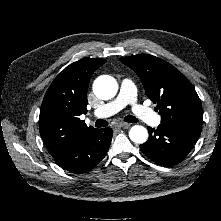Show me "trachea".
<instances>
[{
  "mask_svg": "<svg viewBox=\"0 0 221 221\" xmlns=\"http://www.w3.org/2000/svg\"><path fill=\"white\" fill-rule=\"evenodd\" d=\"M124 121L131 122V123L138 122V120L132 115L126 116L124 118ZM107 125H108V122L106 120H103V119H99L95 122L96 127H105Z\"/></svg>",
  "mask_w": 221,
  "mask_h": 221,
  "instance_id": "3493384b",
  "label": "trachea"
}]
</instances>
